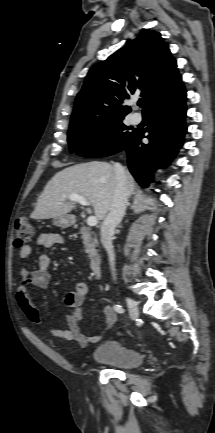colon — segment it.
<instances>
[{"mask_svg": "<svg viewBox=\"0 0 215 433\" xmlns=\"http://www.w3.org/2000/svg\"><path fill=\"white\" fill-rule=\"evenodd\" d=\"M16 247H22L25 243L29 242L34 235V228L30 219L21 215L15 219L14 223Z\"/></svg>", "mask_w": 215, "mask_h": 433, "instance_id": "1", "label": "colon"}]
</instances>
